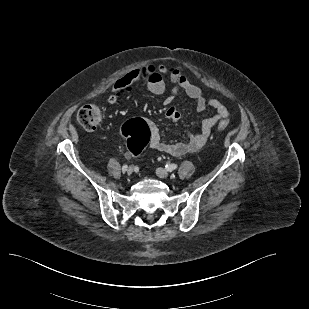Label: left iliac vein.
<instances>
[{
  "label": "left iliac vein",
  "mask_w": 309,
  "mask_h": 309,
  "mask_svg": "<svg viewBox=\"0 0 309 309\" xmlns=\"http://www.w3.org/2000/svg\"><path fill=\"white\" fill-rule=\"evenodd\" d=\"M156 174L160 178H167L169 176V172L164 168H157Z\"/></svg>",
  "instance_id": "1"
}]
</instances>
